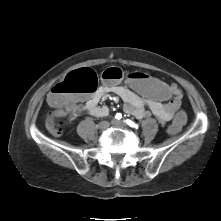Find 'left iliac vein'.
Returning <instances> with one entry per match:
<instances>
[{
  "label": "left iliac vein",
  "instance_id": "1",
  "mask_svg": "<svg viewBox=\"0 0 221 221\" xmlns=\"http://www.w3.org/2000/svg\"><path fill=\"white\" fill-rule=\"evenodd\" d=\"M112 125L118 128H125L126 124L125 122L121 121V120H114L112 121Z\"/></svg>",
  "mask_w": 221,
  "mask_h": 221
}]
</instances>
